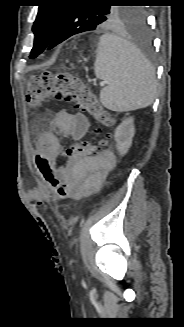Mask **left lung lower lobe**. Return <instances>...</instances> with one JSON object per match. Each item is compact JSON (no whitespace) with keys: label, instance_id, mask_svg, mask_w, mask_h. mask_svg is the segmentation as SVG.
Instances as JSON below:
<instances>
[{"label":"left lung lower lobe","instance_id":"0a47b994","mask_svg":"<svg viewBox=\"0 0 184 327\" xmlns=\"http://www.w3.org/2000/svg\"><path fill=\"white\" fill-rule=\"evenodd\" d=\"M75 34H78V32L66 30V28H64V26L61 24L46 49L49 50L55 47L56 45L60 44ZM132 36L134 38L135 44L137 45L136 48H138L140 52L147 55L152 54L153 42L150 34V28L148 27L145 20L132 28Z\"/></svg>","mask_w":184,"mask_h":327}]
</instances>
